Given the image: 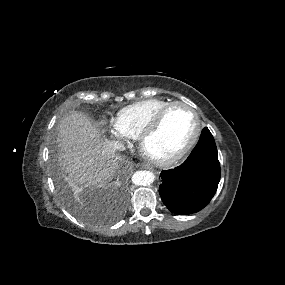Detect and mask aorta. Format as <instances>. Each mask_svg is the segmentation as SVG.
<instances>
[{
	"instance_id": "762f6f07",
	"label": "aorta",
	"mask_w": 285,
	"mask_h": 285,
	"mask_svg": "<svg viewBox=\"0 0 285 285\" xmlns=\"http://www.w3.org/2000/svg\"><path fill=\"white\" fill-rule=\"evenodd\" d=\"M154 179L155 175L150 171H137L132 176V182L138 186L151 184Z\"/></svg>"
}]
</instances>
